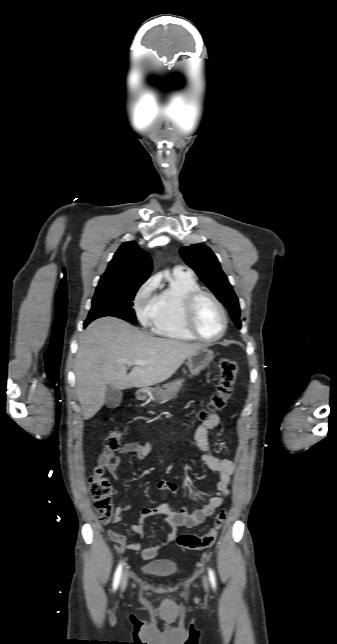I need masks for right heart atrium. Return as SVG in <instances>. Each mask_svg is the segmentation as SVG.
<instances>
[{
  "label": "right heart atrium",
  "mask_w": 337,
  "mask_h": 644,
  "mask_svg": "<svg viewBox=\"0 0 337 644\" xmlns=\"http://www.w3.org/2000/svg\"><path fill=\"white\" fill-rule=\"evenodd\" d=\"M157 279L152 277L147 280L138 290L134 305L140 322L147 325L152 322L156 310Z\"/></svg>",
  "instance_id": "1"
}]
</instances>
